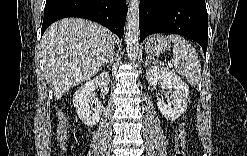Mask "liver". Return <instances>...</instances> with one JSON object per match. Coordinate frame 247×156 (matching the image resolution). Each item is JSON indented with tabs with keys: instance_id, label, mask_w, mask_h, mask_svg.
Segmentation results:
<instances>
[{
	"instance_id": "obj_1",
	"label": "liver",
	"mask_w": 247,
	"mask_h": 156,
	"mask_svg": "<svg viewBox=\"0 0 247 156\" xmlns=\"http://www.w3.org/2000/svg\"><path fill=\"white\" fill-rule=\"evenodd\" d=\"M115 42L108 29L84 19L66 18L48 27L42 37L44 70L55 100L93 77Z\"/></svg>"
}]
</instances>
